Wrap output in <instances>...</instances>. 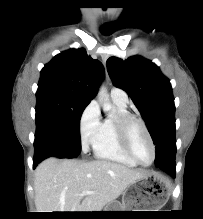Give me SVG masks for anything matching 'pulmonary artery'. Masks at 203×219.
I'll use <instances>...</instances> for the list:
<instances>
[{
  "label": "pulmonary artery",
  "instance_id": "e3ab8cb5",
  "mask_svg": "<svg viewBox=\"0 0 203 219\" xmlns=\"http://www.w3.org/2000/svg\"><path fill=\"white\" fill-rule=\"evenodd\" d=\"M110 96L113 101L118 102L122 105H127L128 103V96L126 92L120 88H112L110 92Z\"/></svg>",
  "mask_w": 203,
  "mask_h": 219
}]
</instances>
